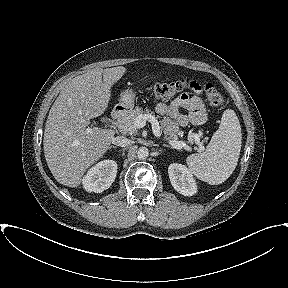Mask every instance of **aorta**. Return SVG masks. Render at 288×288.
Here are the masks:
<instances>
[{
	"mask_svg": "<svg viewBox=\"0 0 288 288\" xmlns=\"http://www.w3.org/2000/svg\"><path fill=\"white\" fill-rule=\"evenodd\" d=\"M149 156V150L146 147H140L137 151V157L140 160H145Z\"/></svg>",
	"mask_w": 288,
	"mask_h": 288,
	"instance_id": "762f6f07",
	"label": "aorta"
}]
</instances>
